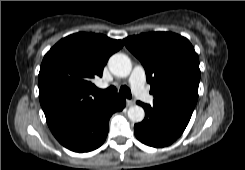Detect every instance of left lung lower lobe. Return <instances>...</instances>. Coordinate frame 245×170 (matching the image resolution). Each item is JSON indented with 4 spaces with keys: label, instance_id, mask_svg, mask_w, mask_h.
Here are the masks:
<instances>
[{
    "label": "left lung lower lobe",
    "instance_id": "left-lung-lower-lobe-1",
    "mask_svg": "<svg viewBox=\"0 0 245 170\" xmlns=\"http://www.w3.org/2000/svg\"><path fill=\"white\" fill-rule=\"evenodd\" d=\"M145 110V119L135 124L134 131L137 139L151 147H164L174 142L185 130L192 113L183 110L153 106L137 102Z\"/></svg>",
    "mask_w": 245,
    "mask_h": 170
}]
</instances>
